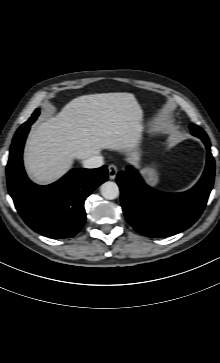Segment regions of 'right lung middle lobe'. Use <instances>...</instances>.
I'll list each match as a JSON object with an SVG mask.
<instances>
[{
    "label": "right lung middle lobe",
    "mask_w": 220,
    "mask_h": 363,
    "mask_svg": "<svg viewBox=\"0 0 220 363\" xmlns=\"http://www.w3.org/2000/svg\"><path fill=\"white\" fill-rule=\"evenodd\" d=\"M38 115H39V109H36L35 112L33 113L32 117H30L29 120H32L31 122H34Z\"/></svg>",
    "instance_id": "obj_1"
}]
</instances>
